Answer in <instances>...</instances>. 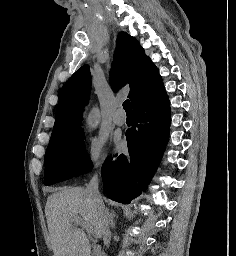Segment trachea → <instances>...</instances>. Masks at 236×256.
Masks as SVG:
<instances>
[{"mask_svg": "<svg viewBox=\"0 0 236 256\" xmlns=\"http://www.w3.org/2000/svg\"><path fill=\"white\" fill-rule=\"evenodd\" d=\"M123 108L126 111V113H132V108H131L130 100L124 101Z\"/></svg>", "mask_w": 236, "mask_h": 256, "instance_id": "trachea-1", "label": "trachea"}]
</instances>
